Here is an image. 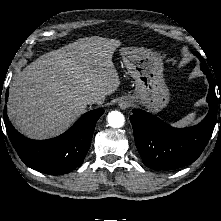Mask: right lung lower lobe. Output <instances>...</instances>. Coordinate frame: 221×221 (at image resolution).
I'll return each instance as SVG.
<instances>
[{
  "label": "right lung lower lobe",
  "instance_id": "obj_1",
  "mask_svg": "<svg viewBox=\"0 0 221 221\" xmlns=\"http://www.w3.org/2000/svg\"><path fill=\"white\" fill-rule=\"evenodd\" d=\"M7 99L8 90L5 100L7 101ZM103 113V109L91 110L82 115L62 135L42 141L31 140L20 134L9 122L6 106L4 124L13 147L27 166L49 175H61L69 173L82 164L90 148L96 122Z\"/></svg>",
  "mask_w": 221,
  "mask_h": 221
}]
</instances>
